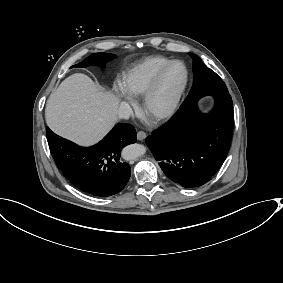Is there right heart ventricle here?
<instances>
[{"label":"right heart ventricle","instance_id":"right-heart-ventricle-1","mask_svg":"<svg viewBox=\"0 0 283 283\" xmlns=\"http://www.w3.org/2000/svg\"><path fill=\"white\" fill-rule=\"evenodd\" d=\"M172 61L166 56H150L122 72L121 85L131 99L143 96L154 74Z\"/></svg>","mask_w":283,"mask_h":283}]
</instances>
